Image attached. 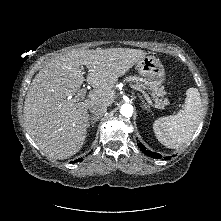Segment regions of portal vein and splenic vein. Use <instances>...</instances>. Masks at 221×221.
Here are the masks:
<instances>
[{"mask_svg": "<svg viewBox=\"0 0 221 221\" xmlns=\"http://www.w3.org/2000/svg\"><path fill=\"white\" fill-rule=\"evenodd\" d=\"M129 86H130L132 89L141 92V93L143 94V96L146 98V100L148 101V103H149L150 105H153V104H152V101H151V99H150V97H149V95H148L144 90L140 89L139 87H137V86H135V85H129ZM85 94H86V89H85V88L81 89V90L78 92V94H77V95H78L77 100H83ZM68 99H70V98H68ZM154 107L157 108L156 105H154Z\"/></svg>", "mask_w": 221, "mask_h": 221, "instance_id": "obj_1", "label": "portal vein and splenic vein"}]
</instances>
